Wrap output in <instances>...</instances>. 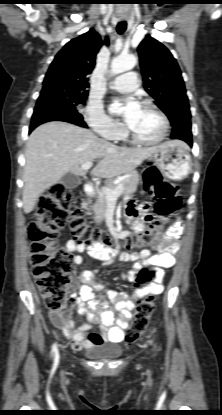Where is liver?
<instances>
[{"label": "liver", "mask_w": 222, "mask_h": 415, "mask_svg": "<svg viewBox=\"0 0 222 415\" xmlns=\"http://www.w3.org/2000/svg\"><path fill=\"white\" fill-rule=\"evenodd\" d=\"M183 145V142L177 141ZM160 146L125 148L99 139L88 129L66 122L52 121L37 127L29 136L23 172V209L33 211L39 196L68 172L83 176L80 166L96 161L91 174L112 178L138 167Z\"/></svg>", "instance_id": "1"}]
</instances>
